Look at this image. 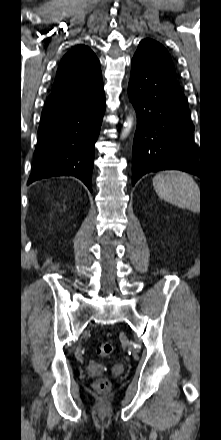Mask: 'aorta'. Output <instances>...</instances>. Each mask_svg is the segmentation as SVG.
I'll return each instance as SVG.
<instances>
[{"mask_svg": "<svg viewBox=\"0 0 221 440\" xmlns=\"http://www.w3.org/2000/svg\"><path fill=\"white\" fill-rule=\"evenodd\" d=\"M132 125H133V118L130 116L127 118V121L124 123V129L121 135L122 138H125L129 134Z\"/></svg>", "mask_w": 221, "mask_h": 440, "instance_id": "1", "label": "aorta"}]
</instances>
